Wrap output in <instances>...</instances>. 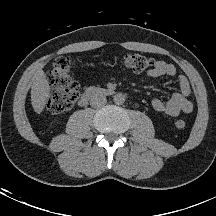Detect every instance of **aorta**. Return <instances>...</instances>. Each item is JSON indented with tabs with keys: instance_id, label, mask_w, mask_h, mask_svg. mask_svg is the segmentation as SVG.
Instances as JSON below:
<instances>
[{
	"instance_id": "1",
	"label": "aorta",
	"mask_w": 216,
	"mask_h": 216,
	"mask_svg": "<svg viewBox=\"0 0 216 216\" xmlns=\"http://www.w3.org/2000/svg\"><path fill=\"white\" fill-rule=\"evenodd\" d=\"M113 101L117 105H122L125 102V95L122 93H117L113 96Z\"/></svg>"
}]
</instances>
